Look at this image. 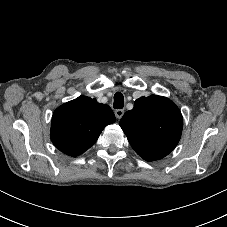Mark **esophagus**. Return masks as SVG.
<instances>
[{
  "mask_svg": "<svg viewBox=\"0 0 227 227\" xmlns=\"http://www.w3.org/2000/svg\"><path fill=\"white\" fill-rule=\"evenodd\" d=\"M115 115L118 119L122 118V116L124 115V110H122V109L116 110Z\"/></svg>",
  "mask_w": 227,
  "mask_h": 227,
  "instance_id": "esophagus-1",
  "label": "esophagus"
}]
</instances>
